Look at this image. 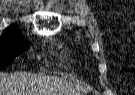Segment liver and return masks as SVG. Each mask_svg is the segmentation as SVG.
<instances>
[{
	"instance_id": "obj_1",
	"label": "liver",
	"mask_w": 135,
	"mask_h": 95,
	"mask_svg": "<svg viewBox=\"0 0 135 95\" xmlns=\"http://www.w3.org/2000/svg\"><path fill=\"white\" fill-rule=\"evenodd\" d=\"M84 87L54 76L0 72V95H81Z\"/></svg>"
}]
</instances>
